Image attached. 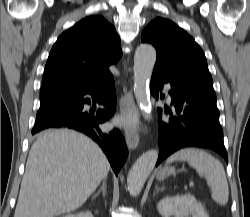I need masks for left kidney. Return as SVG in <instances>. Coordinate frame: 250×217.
Wrapping results in <instances>:
<instances>
[{
    "label": "left kidney",
    "instance_id": "obj_1",
    "mask_svg": "<svg viewBox=\"0 0 250 217\" xmlns=\"http://www.w3.org/2000/svg\"><path fill=\"white\" fill-rule=\"evenodd\" d=\"M158 212L163 217H209L206 213L203 205L196 200V198L190 194L175 195L172 197H166L157 205Z\"/></svg>",
    "mask_w": 250,
    "mask_h": 217
}]
</instances>
